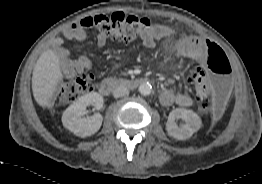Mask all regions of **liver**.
<instances>
[{"label": "liver", "mask_w": 262, "mask_h": 184, "mask_svg": "<svg viewBox=\"0 0 262 184\" xmlns=\"http://www.w3.org/2000/svg\"><path fill=\"white\" fill-rule=\"evenodd\" d=\"M62 80L60 60L56 52L48 49L38 58L32 75L33 96L41 107H50L57 86Z\"/></svg>", "instance_id": "1"}]
</instances>
